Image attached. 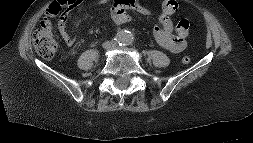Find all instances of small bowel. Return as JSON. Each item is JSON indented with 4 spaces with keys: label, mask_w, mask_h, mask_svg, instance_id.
<instances>
[{
    "label": "small bowel",
    "mask_w": 253,
    "mask_h": 143,
    "mask_svg": "<svg viewBox=\"0 0 253 143\" xmlns=\"http://www.w3.org/2000/svg\"><path fill=\"white\" fill-rule=\"evenodd\" d=\"M95 4H107L110 6V18L113 24L122 25L132 20L128 11H134L138 14L149 15L151 10L142 4L139 0H83ZM176 3L173 0H162V11L158 16V25L154 28V38L156 42L169 51L170 53L177 54L182 52L186 47V37L174 35L173 23L170 16L176 12L174 8ZM49 15V13H48ZM56 27L68 46L75 43L74 37L70 34L67 28V13H61L58 16Z\"/></svg>",
    "instance_id": "small-bowel-1"
}]
</instances>
